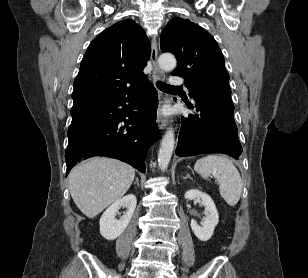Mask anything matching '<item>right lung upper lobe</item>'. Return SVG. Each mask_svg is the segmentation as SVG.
I'll use <instances>...</instances> for the list:
<instances>
[{
  "instance_id": "obj_1",
  "label": "right lung upper lobe",
  "mask_w": 308,
  "mask_h": 278,
  "mask_svg": "<svg viewBox=\"0 0 308 278\" xmlns=\"http://www.w3.org/2000/svg\"><path fill=\"white\" fill-rule=\"evenodd\" d=\"M151 54L144 30L131 20L119 21L89 45L74 81L71 114L126 97L147 81L143 69Z\"/></svg>"
}]
</instances>
